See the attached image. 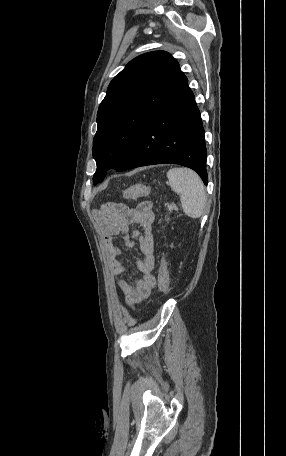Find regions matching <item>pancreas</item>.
I'll list each match as a JSON object with an SVG mask.
<instances>
[{"mask_svg": "<svg viewBox=\"0 0 286 456\" xmlns=\"http://www.w3.org/2000/svg\"><path fill=\"white\" fill-rule=\"evenodd\" d=\"M168 210L171 212L172 210H178L175 204H167Z\"/></svg>", "mask_w": 286, "mask_h": 456, "instance_id": "obj_1", "label": "pancreas"}]
</instances>
